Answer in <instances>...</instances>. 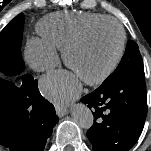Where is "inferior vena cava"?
Wrapping results in <instances>:
<instances>
[{"instance_id":"602c4592","label":"inferior vena cava","mask_w":151,"mask_h":151,"mask_svg":"<svg viewBox=\"0 0 151 151\" xmlns=\"http://www.w3.org/2000/svg\"><path fill=\"white\" fill-rule=\"evenodd\" d=\"M50 64L49 63H46V66L48 67Z\"/></svg>"}]
</instances>
